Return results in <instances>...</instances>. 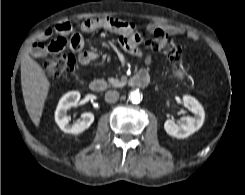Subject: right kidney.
Listing matches in <instances>:
<instances>
[{
	"label": "right kidney",
	"mask_w": 245,
	"mask_h": 195,
	"mask_svg": "<svg viewBox=\"0 0 245 195\" xmlns=\"http://www.w3.org/2000/svg\"><path fill=\"white\" fill-rule=\"evenodd\" d=\"M80 100L78 91L66 93L59 101L55 111V121L59 128L65 133L79 134L88 129L94 121V115L90 112L83 113L81 119L70 124L67 111L70 107L76 106Z\"/></svg>",
	"instance_id": "obj_1"
}]
</instances>
